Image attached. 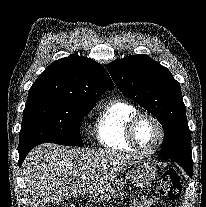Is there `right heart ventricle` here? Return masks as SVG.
<instances>
[{
	"mask_svg": "<svg viewBox=\"0 0 206 207\" xmlns=\"http://www.w3.org/2000/svg\"><path fill=\"white\" fill-rule=\"evenodd\" d=\"M138 113L137 108L124 101L113 100L101 111L96 122V135L100 145L114 152H130L125 128L128 121Z\"/></svg>",
	"mask_w": 206,
	"mask_h": 207,
	"instance_id": "1",
	"label": "right heart ventricle"
}]
</instances>
